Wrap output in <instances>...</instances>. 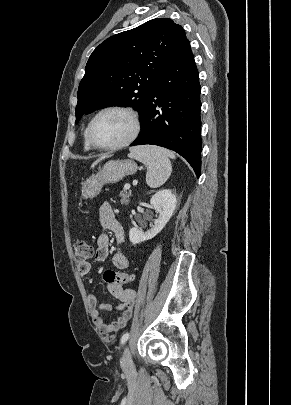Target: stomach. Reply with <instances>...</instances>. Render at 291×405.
<instances>
[{
  "label": "stomach",
  "instance_id": "0dacf381",
  "mask_svg": "<svg viewBox=\"0 0 291 405\" xmlns=\"http://www.w3.org/2000/svg\"><path fill=\"white\" fill-rule=\"evenodd\" d=\"M137 171V165L131 160H111L99 173L87 179L82 186L83 198H94L101 192L105 184H113Z\"/></svg>",
  "mask_w": 291,
  "mask_h": 405
}]
</instances>
